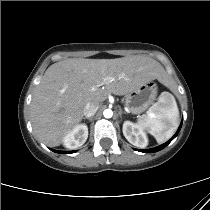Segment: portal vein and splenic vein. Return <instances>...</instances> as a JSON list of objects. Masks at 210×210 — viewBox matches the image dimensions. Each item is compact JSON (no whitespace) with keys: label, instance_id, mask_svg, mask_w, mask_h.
I'll list each match as a JSON object with an SVG mask.
<instances>
[{"label":"portal vein and splenic vein","instance_id":"18ae733b","mask_svg":"<svg viewBox=\"0 0 210 210\" xmlns=\"http://www.w3.org/2000/svg\"><path fill=\"white\" fill-rule=\"evenodd\" d=\"M105 80H107V81H113V78H111V77H109V78H107V79H105Z\"/></svg>","mask_w":210,"mask_h":210}]
</instances>
